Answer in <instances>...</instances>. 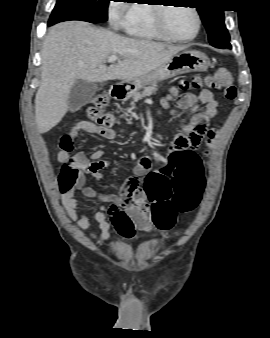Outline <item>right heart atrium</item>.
I'll list each match as a JSON object with an SVG mask.
<instances>
[{
    "mask_svg": "<svg viewBox=\"0 0 270 338\" xmlns=\"http://www.w3.org/2000/svg\"><path fill=\"white\" fill-rule=\"evenodd\" d=\"M130 17V7L123 4H113L109 8V19L114 27H123Z\"/></svg>",
    "mask_w": 270,
    "mask_h": 338,
    "instance_id": "d8ad5b80",
    "label": "right heart atrium"
}]
</instances>
